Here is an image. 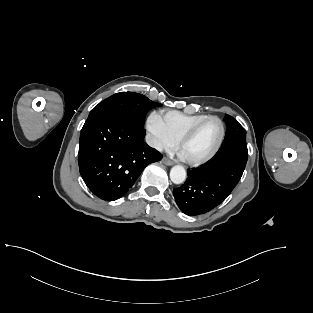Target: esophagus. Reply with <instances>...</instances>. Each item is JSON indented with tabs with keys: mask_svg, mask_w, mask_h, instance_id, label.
I'll use <instances>...</instances> for the list:
<instances>
[{
	"mask_svg": "<svg viewBox=\"0 0 313 313\" xmlns=\"http://www.w3.org/2000/svg\"><path fill=\"white\" fill-rule=\"evenodd\" d=\"M162 162H163L165 165H167V166L173 165V162H172L170 159L166 158V157H164V158L162 159Z\"/></svg>",
	"mask_w": 313,
	"mask_h": 313,
	"instance_id": "obj_1",
	"label": "esophagus"
}]
</instances>
